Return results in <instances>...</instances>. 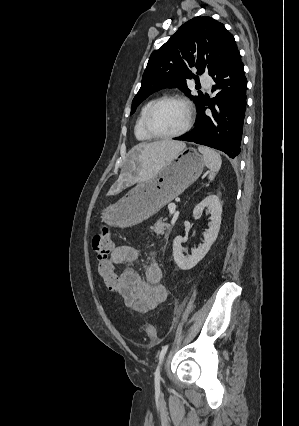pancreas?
<instances>
[{"label":"pancreas","mask_w":299,"mask_h":426,"mask_svg":"<svg viewBox=\"0 0 299 426\" xmlns=\"http://www.w3.org/2000/svg\"><path fill=\"white\" fill-rule=\"evenodd\" d=\"M165 220L166 219H159L152 228L158 236L164 234L168 235L171 232L172 226L168 223H165Z\"/></svg>","instance_id":"pancreas-1"}]
</instances>
